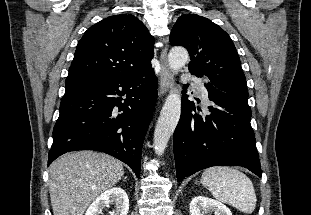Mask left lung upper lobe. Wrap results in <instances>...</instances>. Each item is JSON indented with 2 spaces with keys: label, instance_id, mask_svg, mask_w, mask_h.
<instances>
[{
  "label": "left lung upper lobe",
  "instance_id": "left-lung-upper-lobe-1",
  "mask_svg": "<svg viewBox=\"0 0 311 215\" xmlns=\"http://www.w3.org/2000/svg\"><path fill=\"white\" fill-rule=\"evenodd\" d=\"M173 46H184L189 68L197 70L219 90L248 97L246 78L229 35L211 20L197 14L180 16L170 34Z\"/></svg>",
  "mask_w": 311,
  "mask_h": 215
}]
</instances>
